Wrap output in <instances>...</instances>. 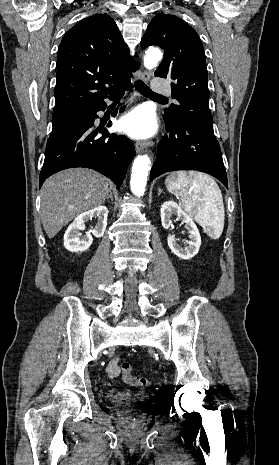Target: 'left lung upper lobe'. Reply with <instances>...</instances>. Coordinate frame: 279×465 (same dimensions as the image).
<instances>
[{
    "label": "left lung upper lobe",
    "mask_w": 279,
    "mask_h": 465,
    "mask_svg": "<svg viewBox=\"0 0 279 465\" xmlns=\"http://www.w3.org/2000/svg\"><path fill=\"white\" fill-rule=\"evenodd\" d=\"M151 45L165 51L155 75L173 80L172 95L179 102L165 109V122L190 121L213 133L206 60L198 34L182 19L159 13L151 20L141 40L142 48Z\"/></svg>",
    "instance_id": "5c2ea615"
}]
</instances>
